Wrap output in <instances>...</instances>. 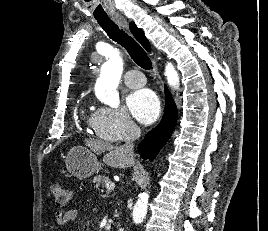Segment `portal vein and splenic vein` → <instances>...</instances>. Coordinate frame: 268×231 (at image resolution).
Instances as JSON below:
<instances>
[{
    "instance_id": "portal-vein-and-splenic-vein-1",
    "label": "portal vein and splenic vein",
    "mask_w": 268,
    "mask_h": 231,
    "mask_svg": "<svg viewBox=\"0 0 268 231\" xmlns=\"http://www.w3.org/2000/svg\"><path fill=\"white\" fill-rule=\"evenodd\" d=\"M105 188H106L108 191L113 190V189L115 188V184H114V182H112V181H107V182L105 183Z\"/></svg>"
}]
</instances>
